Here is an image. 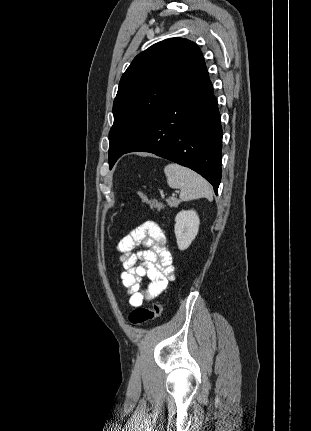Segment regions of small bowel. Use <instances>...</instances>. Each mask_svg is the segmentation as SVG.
Here are the masks:
<instances>
[{"label": "small bowel", "instance_id": "small-bowel-1", "mask_svg": "<svg viewBox=\"0 0 311 431\" xmlns=\"http://www.w3.org/2000/svg\"><path fill=\"white\" fill-rule=\"evenodd\" d=\"M139 246L144 249L135 252ZM117 251L124 268L120 279L133 307L160 295L174 279L173 259L165 234L154 221H145L124 236L117 244ZM144 277L150 280L145 290L141 289Z\"/></svg>", "mask_w": 311, "mask_h": 431}]
</instances>
